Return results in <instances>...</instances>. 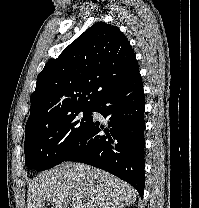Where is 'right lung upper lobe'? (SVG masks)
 <instances>
[{
	"mask_svg": "<svg viewBox=\"0 0 199 208\" xmlns=\"http://www.w3.org/2000/svg\"><path fill=\"white\" fill-rule=\"evenodd\" d=\"M138 75L134 51L124 34L116 26L95 23L38 75L25 134L76 109L93 107Z\"/></svg>",
	"mask_w": 199,
	"mask_h": 208,
	"instance_id": "cb5924a9",
	"label": "right lung upper lobe"
}]
</instances>
